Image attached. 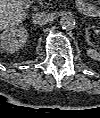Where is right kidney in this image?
Here are the masks:
<instances>
[{
  "mask_svg": "<svg viewBox=\"0 0 100 118\" xmlns=\"http://www.w3.org/2000/svg\"><path fill=\"white\" fill-rule=\"evenodd\" d=\"M28 41V32L23 27L7 26L0 35V50L13 54L22 49Z\"/></svg>",
  "mask_w": 100,
  "mask_h": 118,
  "instance_id": "right-kidney-1",
  "label": "right kidney"
}]
</instances>
